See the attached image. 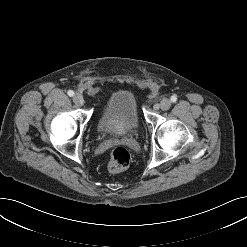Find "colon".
I'll return each instance as SVG.
<instances>
[{
  "mask_svg": "<svg viewBox=\"0 0 247 247\" xmlns=\"http://www.w3.org/2000/svg\"><path fill=\"white\" fill-rule=\"evenodd\" d=\"M131 161V157L127 149L124 147H116L110 153L108 169L112 173L125 170Z\"/></svg>",
  "mask_w": 247,
  "mask_h": 247,
  "instance_id": "1",
  "label": "colon"
}]
</instances>
